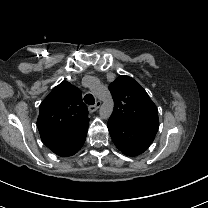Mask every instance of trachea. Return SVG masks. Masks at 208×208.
Masks as SVG:
<instances>
[{"label":"trachea","instance_id":"3493384b","mask_svg":"<svg viewBox=\"0 0 208 208\" xmlns=\"http://www.w3.org/2000/svg\"><path fill=\"white\" fill-rule=\"evenodd\" d=\"M84 101L88 105H94L95 104V98L91 93H88L84 96Z\"/></svg>","mask_w":208,"mask_h":208}]
</instances>
